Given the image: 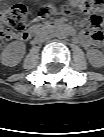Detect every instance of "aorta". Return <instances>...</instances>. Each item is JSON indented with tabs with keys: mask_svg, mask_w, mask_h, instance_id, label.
<instances>
[{
	"mask_svg": "<svg viewBox=\"0 0 104 137\" xmlns=\"http://www.w3.org/2000/svg\"><path fill=\"white\" fill-rule=\"evenodd\" d=\"M56 36L59 38V39H63L65 36H66V33L64 31H59Z\"/></svg>",
	"mask_w": 104,
	"mask_h": 137,
	"instance_id": "aorta-1",
	"label": "aorta"
}]
</instances>
